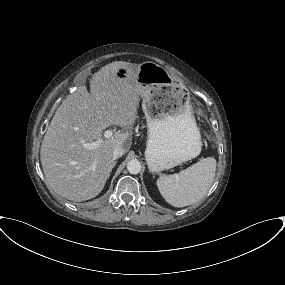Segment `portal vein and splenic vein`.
<instances>
[{"label": "portal vein and splenic vein", "mask_w": 285, "mask_h": 285, "mask_svg": "<svg viewBox=\"0 0 285 285\" xmlns=\"http://www.w3.org/2000/svg\"><path fill=\"white\" fill-rule=\"evenodd\" d=\"M112 135H113V131L112 130H106L104 132V137L105 138H110ZM101 142H102V140L99 139V140L91 142V143H84L83 147L86 148V149L95 150L100 145Z\"/></svg>", "instance_id": "portal-vein-and-splenic-vein-1"}]
</instances>
